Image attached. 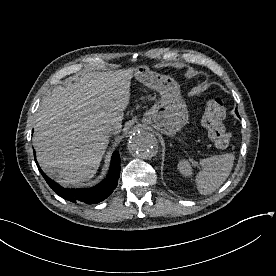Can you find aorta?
<instances>
[{
    "mask_svg": "<svg viewBox=\"0 0 276 276\" xmlns=\"http://www.w3.org/2000/svg\"><path fill=\"white\" fill-rule=\"evenodd\" d=\"M129 152L137 158L149 159L155 156L158 150V140L151 133L140 130L135 131L128 141Z\"/></svg>",
    "mask_w": 276,
    "mask_h": 276,
    "instance_id": "762f6f07",
    "label": "aorta"
}]
</instances>
